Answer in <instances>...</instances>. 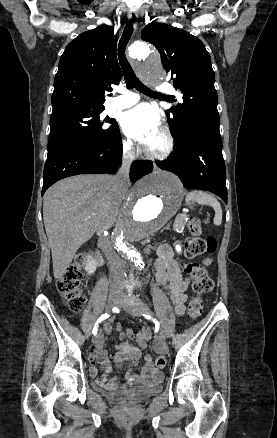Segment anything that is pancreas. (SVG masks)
Wrapping results in <instances>:
<instances>
[{
    "instance_id": "obj_1",
    "label": "pancreas",
    "mask_w": 277,
    "mask_h": 438,
    "mask_svg": "<svg viewBox=\"0 0 277 438\" xmlns=\"http://www.w3.org/2000/svg\"><path fill=\"white\" fill-rule=\"evenodd\" d=\"M175 224L172 225L173 233H182L183 224L188 221V216L186 214H177L175 217Z\"/></svg>"
}]
</instances>
